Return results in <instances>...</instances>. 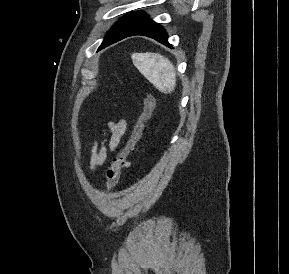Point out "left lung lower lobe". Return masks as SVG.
Listing matches in <instances>:
<instances>
[{"label":"left lung lower lobe","mask_w":289,"mask_h":274,"mask_svg":"<svg viewBox=\"0 0 289 274\" xmlns=\"http://www.w3.org/2000/svg\"><path fill=\"white\" fill-rule=\"evenodd\" d=\"M134 35H143V36H147L150 38H153L155 40H157L158 42L172 48V46L168 43V36L166 31L163 29L162 26L158 25L157 23H155L154 21L147 19L145 20L142 24H140L137 28H135L133 31H131L130 33L126 34L125 36L121 37L120 39L113 41L111 43H108L106 45H103L101 47H99L98 50H101L113 43H116L126 37H130V36H134Z\"/></svg>","instance_id":"0a47b994"}]
</instances>
